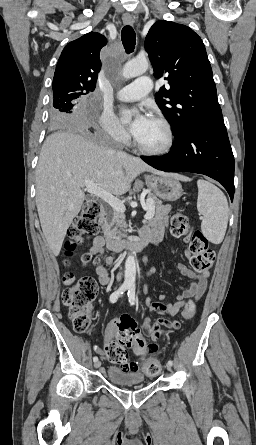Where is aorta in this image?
<instances>
[{"instance_id": "762f6f07", "label": "aorta", "mask_w": 256, "mask_h": 445, "mask_svg": "<svg viewBox=\"0 0 256 445\" xmlns=\"http://www.w3.org/2000/svg\"><path fill=\"white\" fill-rule=\"evenodd\" d=\"M149 67L148 61L146 59H133L128 61L122 71V75L125 79H130L139 75H142L147 71ZM130 118L126 119L129 121ZM125 283L135 284L136 280V261L133 254H130L125 262L124 271Z\"/></svg>"}]
</instances>
